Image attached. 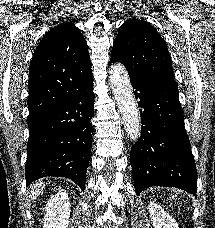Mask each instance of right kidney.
Returning <instances> with one entry per match:
<instances>
[{
    "label": "right kidney",
    "instance_id": "obj_1",
    "mask_svg": "<svg viewBox=\"0 0 215 228\" xmlns=\"http://www.w3.org/2000/svg\"><path fill=\"white\" fill-rule=\"evenodd\" d=\"M71 204L66 190L51 196L45 208L43 228H68Z\"/></svg>",
    "mask_w": 215,
    "mask_h": 228
}]
</instances>
